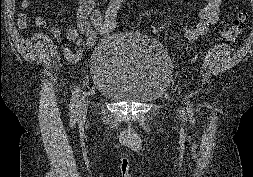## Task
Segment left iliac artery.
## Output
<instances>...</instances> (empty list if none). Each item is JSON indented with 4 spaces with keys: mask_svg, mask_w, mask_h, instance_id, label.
Instances as JSON below:
<instances>
[{
    "mask_svg": "<svg viewBox=\"0 0 253 177\" xmlns=\"http://www.w3.org/2000/svg\"><path fill=\"white\" fill-rule=\"evenodd\" d=\"M187 111H188V113H190V114H192V107H191V104H190V102L189 101H187ZM193 115V114H192Z\"/></svg>",
    "mask_w": 253,
    "mask_h": 177,
    "instance_id": "left-iliac-artery-1",
    "label": "left iliac artery"
}]
</instances>
